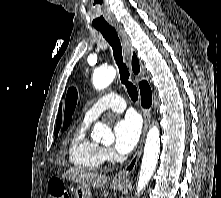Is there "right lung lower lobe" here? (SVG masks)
Returning a JSON list of instances; mask_svg holds the SVG:
<instances>
[{"instance_id": "obj_1", "label": "right lung lower lobe", "mask_w": 221, "mask_h": 198, "mask_svg": "<svg viewBox=\"0 0 221 198\" xmlns=\"http://www.w3.org/2000/svg\"><path fill=\"white\" fill-rule=\"evenodd\" d=\"M140 92H141V101L143 107H150L152 102V93L150 86L146 81H142L139 84Z\"/></svg>"}]
</instances>
